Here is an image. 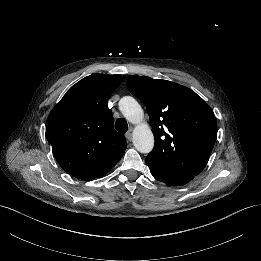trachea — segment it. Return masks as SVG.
<instances>
[{"mask_svg": "<svg viewBox=\"0 0 261 261\" xmlns=\"http://www.w3.org/2000/svg\"><path fill=\"white\" fill-rule=\"evenodd\" d=\"M115 128L120 133H126L128 130V124L125 119L119 118L115 123Z\"/></svg>", "mask_w": 261, "mask_h": 261, "instance_id": "obj_1", "label": "trachea"}]
</instances>
